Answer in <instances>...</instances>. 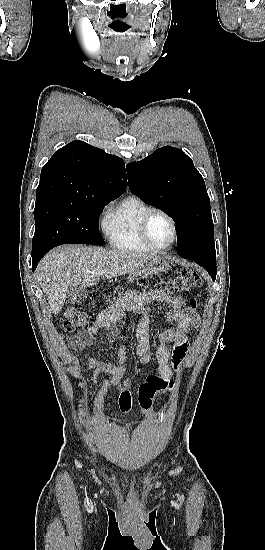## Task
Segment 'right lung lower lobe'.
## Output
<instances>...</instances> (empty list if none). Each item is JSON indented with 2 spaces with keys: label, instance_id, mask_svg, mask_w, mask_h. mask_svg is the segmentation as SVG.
I'll list each match as a JSON object with an SVG mask.
<instances>
[{
  "label": "right lung lower lobe",
  "instance_id": "98d812e1",
  "mask_svg": "<svg viewBox=\"0 0 265 550\" xmlns=\"http://www.w3.org/2000/svg\"><path fill=\"white\" fill-rule=\"evenodd\" d=\"M46 253H36V254H32V271H34L38 265V262L41 260V258L45 255Z\"/></svg>",
  "mask_w": 265,
  "mask_h": 550
}]
</instances>
